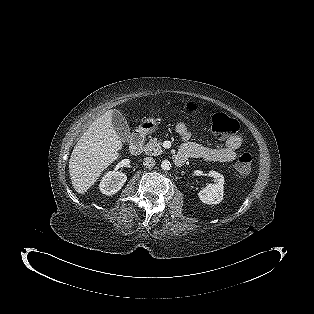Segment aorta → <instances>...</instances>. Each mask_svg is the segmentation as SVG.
I'll use <instances>...</instances> for the list:
<instances>
[{"mask_svg":"<svg viewBox=\"0 0 314 314\" xmlns=\"http://www.w3.org/2000/svg\"><path fill=\"white\" fill-rule=\"evenodd\" d=\"M161 168H162V170H164V171L170 170V168H171V163H170V161H168V160H163L162 163H161Z\"/></svg>","mask_w":314,"mask_h":314,"instance_id":"aorta-1","label":"aorta"}]
</instances>
